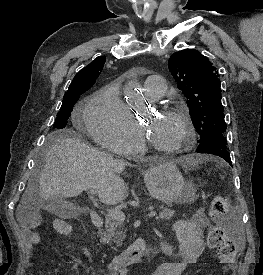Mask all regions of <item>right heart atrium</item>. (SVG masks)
Returning <instances> with one entry per match:
<instances>
[{"label": "right heart atrium", "mask_w": 263, "mask_h": 275, "mask_svg": "<svg viewBox=\"0 0 263 275\" xmlns=\"http://www.w3.org/2000/svg\"><path fill=\"white\" fill-rule=\"evenodd\" d=\"M84 123L91 137L110 151L128 154L141 146L140 126L116 87L108 86L92 96L84 111Z\"/></svg>", "instance_id": "1"}]
</instances>
